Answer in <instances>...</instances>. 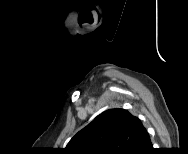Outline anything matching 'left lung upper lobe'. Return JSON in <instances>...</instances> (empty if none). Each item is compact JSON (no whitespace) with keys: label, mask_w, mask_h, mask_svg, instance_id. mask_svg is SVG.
<instances>
[{"label":"left lung upper lobe","mask_w":188,"mask_h":154,"mask_svg":"<svg viewBox=\"0 0 188 154\" xmlns=\"http://www.w3.org/2000/svg\"><path fill=\"white\" fill-rule=\"evenodd\" d=\"M136 117L125 109H109L79 131L66 149L75 154H127Z\"/></svg>","instance_id":"1"}]
</instances>
